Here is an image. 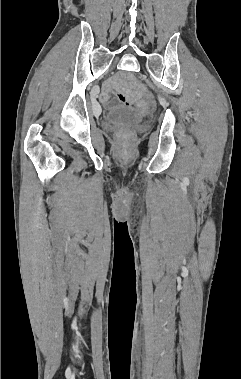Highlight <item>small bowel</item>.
<instances>
[{
    "mask_svg": "<svg viewBox=\"0 0 241 379\" xmlns=\"http://www.w3.org/2000/svg\"><path fill=\"white\" fill-rule=\"evenodd\" d=\"M115 88V85L113 82L109 81L107 82L102 91H101V94H100V101L102 103H107L108 100H109V97H110V93L112 92V90ZM131 99V97H129ZM95 107H98V104H95Z\"/></svg>",
    "mask_w": 241,
    "mask_h": 379,
    "instance_id": "1",
    "label": "small bowel"
}]
</instances>
